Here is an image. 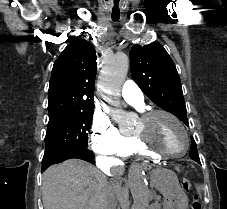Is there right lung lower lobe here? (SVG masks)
I'll return each mask as SVG.
<instances>
[{
	"label": "right lung lower lobe",
	"mask_w": 227,
	"mask_h": 209,
	"mask_svg": "<svg viewBox=\"0 0 227 209\" xmlns=\"http://www.w3.org/2000/svg\"><path fill=\"white\" fill-rule=\"evenodd\" d=\"M71 158H78L85 161H92L94 159V154L90 150H83V151H66V152H61V153L52 155L47 158L48 160L47 166L45 168H42V172L52 164L60 163L64 160L71 159Z\"/></svg>",
	"instance_id": "98d812e1"
}]
</instances>
